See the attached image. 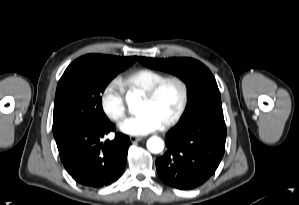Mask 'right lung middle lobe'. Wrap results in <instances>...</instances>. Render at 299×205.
<instances>
[{"label":"right lung middle lobe","mask_w":299,"mask_h":205,"mask_svg":"<svg viewBox=\"0 0 299 205\" xmlns=\"http://www.w3.org/2000/svg\"><path fill=\"white\" fill-rule=\"evenodd\" d=\"M130 64L75 60L59 80L53 114L56 142L70 131L85 125L109 122L101 105L107 84Z\"/></svg>","instance_id":"obj_1"}]
</instances>
